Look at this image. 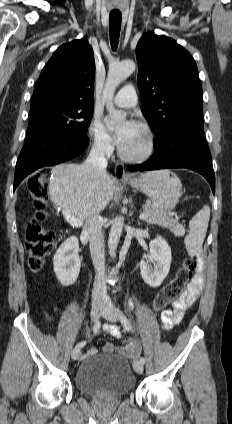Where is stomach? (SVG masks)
Listing matches in <instances>:
<instances>
[{
	"label": "stomach",
	"mask_w": 232,
	"mask_h": 424,
	"mask_svg": "<svg viewBox=\"0 0 232 424\" xmlns=\"http://www.w3.org/2000/svg\"><path fill=\"white\" fill-rule=\"evenodd\" d=\"M126 183L146 194L152 205L164 213L171 211L182 195L181 181L170 170L150 171Z\"/></svg>",
	"instance_id": "obj_1"
}]
</instances>
